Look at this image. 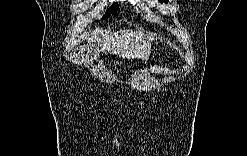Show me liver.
Instances as JSON below:
<instances>
[{"label": "liver", "mask_w": 247, "mask_h": 156, "mask_svg": "<svg viewBox=\"0 0 247 156\" xmlns=\"http://www.w3.org/2000/svg\"><path fill=\"white\" fill-rule=\"evenodd\" d=\"M101 35V36H100ZM152 37H146L140 31L120 30L119 32H109L105 30L96 31L87 39L88 43L97 42L101 49L98 52L108 51L110 54L119 55L128 60L138 58L147 60L151 50ZM94 45L90 44L92 48ZM121 53V54H120Z\"/></svg>", "instance_id": "6515ba94"}]
</instances>
